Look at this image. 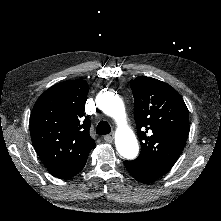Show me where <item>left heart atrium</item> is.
Segmentation results:
<instances>
[{
  "instance_id": "left-heart-atrium-1",
  "label": "left heart atrium",
  "mask_w": 221,
  "mask_h": 221,
  "mask_svg": "<svg viewBox=\"0 0 221 221\" xmlns=\"http://www.w3.org/2000/svg\"><path fill=\"white\" fill-rule=\"evenodd\" d=\"M140 173L143 174L144 173L143 170H141ZM94 175L99 176V177H105L108 175V173L102 170H97V171H94Z\"/></svg>"
}]
</instances>
